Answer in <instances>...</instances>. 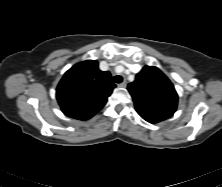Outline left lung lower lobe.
<instances>
[{"label":"left lung lower lobe","mask_w":222,"mask_h":187,"mask_svg":"<svg viewBox=\"0 0 222 187\" xmlns=\"http://www.w3.org/2000/svg\"><path fill=\"white\" fill-rule=\"evenodd\" d=\"M137 112L143 119H145L146 121L150 123H158L160 121H163L169 118V116L162 115V114H154V113L139 112V111Z\"/></svg>","instance_id":"obj_1"}]
</instances>
